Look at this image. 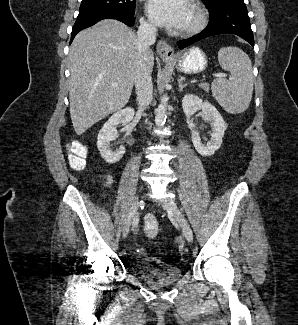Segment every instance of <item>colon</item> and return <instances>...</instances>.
<instances>
[{"label": "colon", "instance_id": "obj_1", "mask_svg": "<svg viewBox=\"0 0 298 325\" xmlns=\"http://www.w3.org/2000/svg\"><path fill=\"white\" fill-rule=\"evenodd\" d=\"M86 156L87 151L84 149L77 150V152L73 153L70 158L72 168L77 171L83 170L86 165ZM143 231L144 234L149 238H153L158 234L159 222L155 216H145L143 220Z\"/></svg>", "mask_w": 298, "mask_h": 325}]
</instances>
